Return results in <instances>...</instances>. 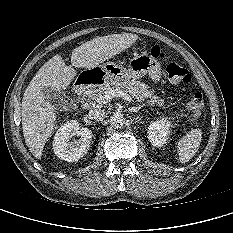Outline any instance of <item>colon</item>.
I'll return each instance as SVG.
<instances>
[{"instance_id":"obj_1","label":"colon","mask_w":233,"mask_h":233,"mask_svg":"<svg viewBox=\"0 0 233 233\" xmlns=\"http://www.w3.org/2000/svg\"><path fill=\"white\" fill-rule=\"evenodd\" d=\"M151 54L154 57H162L164 55L160 47L154 46L151 48ZM166 76L170 83L174 85L185 84L191 81V75L189 71L183 66L171 62L166 66ZM188 110L194 115L199 116L204 108V97L200 91H195L190 98Z\"/></svg>"}]
</instances>
